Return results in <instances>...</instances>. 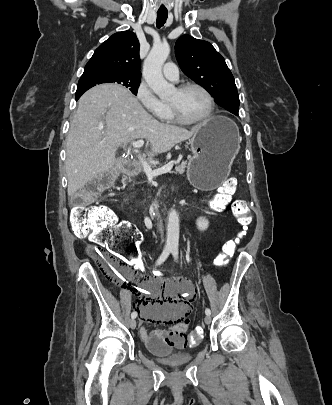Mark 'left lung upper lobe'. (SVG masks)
Instances as JSON below:
<instances>
[{"label": "left lung upper lobe", "mask_w": 332, "mask_h": 405, "mask_svg": "<svg viewBox=\"0 0 332 405\" xmlns=\"http://www.w3.org/2000/svg\"><path fill=\"white\" fill-rule=\"evenodd\" d=\"M175 54L181 70L211 93L220 106L230 112L239 108L234 77L209 42L183 35L176 41Z\"/></svg>", "instance_id": "5c2ea615"}]
</instances>
